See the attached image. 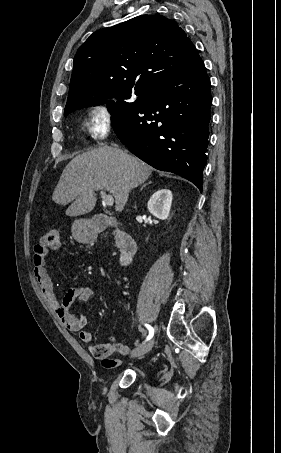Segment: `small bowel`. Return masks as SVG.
Masks as SVG:
<instances>
[{
  "mask_svg": "<svg viewBox=\"0 0 281 453\" xmlns=\"http://www.w3.org/2000/svg\"><path fill=\"white\" fill-rule=\"evenodd\" d=\"M47 252L43 249L38 250L34 254L33 273L41 288L44 298L50 308H52L59 316L61 322L65 324L67 329L78 332L80 339L90 344L89 351L108 369H114L124 363L121 358L112 359L114 353H130L131 348L116 341L113 335H110V342L107 344H92V334L85 330L87 326V316L84 314L73 315L70 312L69 305L75 301L85 304L95 297V291L86 286H78L67 290L64 296V304L59 303L58 296L54 290L53 279L46 267Z\"/></svg>",
  "mask_w": 281,
  "mask_h": 453,
  "instance_id": "small-bowel-1",
  "label": "small bowel"
}]
</instances>
